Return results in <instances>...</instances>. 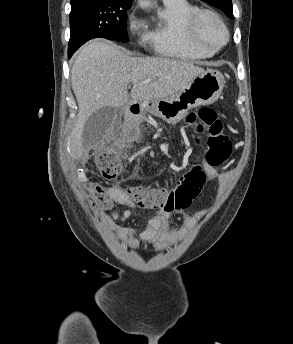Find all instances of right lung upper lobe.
Here are the masks:
<instances>
[{
    "label": "right lung upper lobe",
    "instance_id": "1",
    "mask_svg": "<svg viewBox=\"0 0 293 344\" xmlns=\"http://www.w3.org/2000/svg\"><path fill=\"white\" fill-rule=\"evenodd\" d=\"M83 0H71V4H75ZM101 1H109V2H121V3H132V0H101Z\"/></svg>",
    "mask_w": 293,
    "mask_h": 344
}]
</instances>
